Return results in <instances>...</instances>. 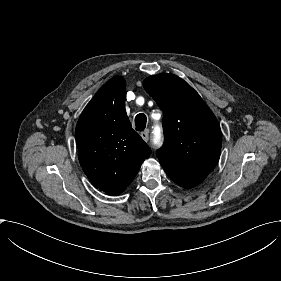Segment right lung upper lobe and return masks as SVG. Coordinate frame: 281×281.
Masks as SVG:
<instances>
[{
	"mask_svg": "<svg viewBox=\"0 0 281 281\" xmlns=\"http://www.w3.org/2000/svg\"><path fill=\"white\" fill-rule=\"evenodd\" d=\"M125 95V80L111 78L85 107L76 126L83 171L96 188L112 196L126 189L151 154L131 127Z\"/></svg>",
	"mask_w": 281,
	"mask_h": 281,
	"instance_id": "right-lung-upper-lobe-1",
	"label": "right lung upper lobe"
}]
</instances>
